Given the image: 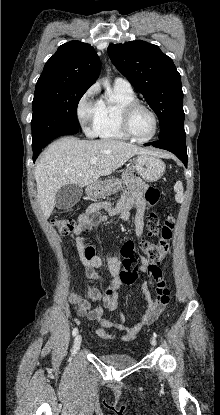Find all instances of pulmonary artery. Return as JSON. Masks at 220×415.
I'll use <instances>...</instances> for the list:
<instances>
[{"instance_id": "pulmonary-artery-1", "label": "pulmonary artery", "mask_w": 220, "mask_h": 415, "mask_svg": "<svg viewBox=\"0 0 220 415\" xmlns=\"http://www.w3.org/2000/svg\"><path fill=\"white\" fill-rule=\"evenodd\" d=\"M114 87L120 90H132L130 83L126 79L120 77L114 80Z\"/></svg>"}]
</instances>
